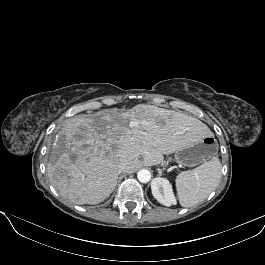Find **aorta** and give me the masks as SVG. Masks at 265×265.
Here are the masks:
<instances>
[{"mask_svg":"<svg viewBox=\"0 0 265 265\" xmlns=\"http://www.w3.org/2000/svg\"><path fill=\"white\" fill-rule=\"evenodd\" d=\"M137 178L141 183H147L151 179V173L147 169H141L137 173Z\"/></svg>","mask_w":265,"mask_h":265,"instance_id":"obj_1","label":"aorta"}]
</instances>
